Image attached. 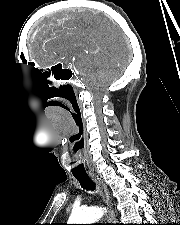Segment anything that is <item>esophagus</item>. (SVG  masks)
I'll return each instance as SVG.
<instances>
[{
	"mask_svg": "<svg viewBox=\"0 0 180 225\" xmlns=\"http://www.w3.org/2000/svg\"><path fill=\"white\" fill-rule=\"evenodd\" d=\"M91 178L99 185L103 200L109 208L108 215H107L108 222L114 223L116 220L115 212L113 210V204H112L110 192H109L107 186L105 185L103 180L101 178H99L98 176L92 175Z\"/></svg>",
	"mask_w": 180,
	"mask_h": 225,
	"instance_id": "esophagus-1",
	"label": "esophagus"
}]
</instances>
